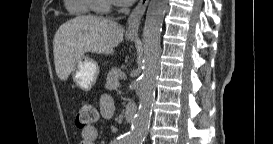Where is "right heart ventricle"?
Here are the masks:
<instances>
[{
    "label": "right heart ventricle",
    "instance_id": "obj_1",
    "mask_svg": "<svg viewBox=\"0 0 273 144\" xmlns=\"http://www.w3.org/2000/svg\"><path fill=\"white\" fill-rule=\"evenodd\" d=\"M92 0H65L66 11L75 17L84 16L90 13Z\"/></svg>",
    "mask_w": 273,
    "mask_h": 144
}]
</instances>
